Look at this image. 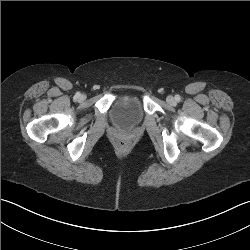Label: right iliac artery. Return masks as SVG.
I'll use <instances>...</instances> for the list:
<instances>
[{
  "mask_svg": "<svg viewBox=\"0 0 250 250\" xmlns=\"http://www.w3.org/2000/svg\"><path fill=\"white\" fill-rule=\"evenodd\" d=\"M79 97H80V93L77 92V93L75 94V99H77V98H79Z\"/></svg>",
  "mask_w": 250,
  "mask_h": 250,
  "instance_id": "obj_1",
  "label": "right iliac artery"
}]
</instances>
